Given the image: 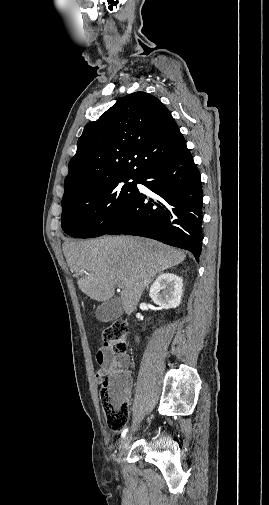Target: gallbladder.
<instances>
[{
  "mask_svg": "<svg viewBox=\"0 0 269 505\" xmlns=\"http://www.w3.org/2000/svg\"><path fill=\"white\" fill-rule=\"evenodd\" d=\"M123 314V305L119 297L101 303L95 311L97 320L108 322L118 319Z\"/></svg>",
  "mask_w": 269,
  "mask_h": 505,
  "instance_id": "gallbladder-1",
  "label": "gallbladder"
}]
</instances>
